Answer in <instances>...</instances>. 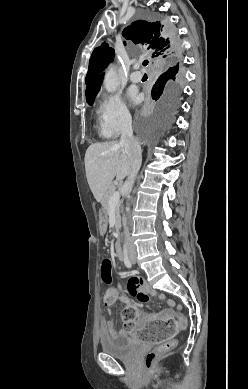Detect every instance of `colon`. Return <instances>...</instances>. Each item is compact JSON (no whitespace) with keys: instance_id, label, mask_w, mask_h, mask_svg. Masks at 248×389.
Returning a JSON list of instances; mask_svg holds the SVG:
<instances>
[{"instance_id":"5ec220e1","label":"colon","mask_w":248,"mask_h":389,"mask_svg":"<svg viewBox=\"0 0 248 389\" xmlns=\"http://www.w3.org/2000/svg\"><path fill=\"white\" fill-rule=\"evenodd\" d=\"M112 263L109 259H104L101 264V274L103 280L109 285L113 284L111 280ZM118 298V292L108 288L104 292L105 304H111ZM137 311L133 306H127L122 311V319L124 329L131 331L136 327ZM183 327V322L172 317L153 319L152 322H144L143 326H139L138 330H133L129 335L131 340H140L141 344H160L154 350L148 352L145 356V366L147 370L154 372L157 370L158 360L171 352L177 345V341L172 339L163 342V337H171L172 332Z\"/></svg>"}]
</instances>
